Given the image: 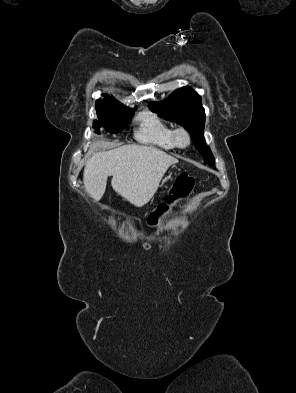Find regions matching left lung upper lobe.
I'll return each mask as SVG.
<instances>
[{"instance_id": "5c2ea615", "label": "left lung upper lobe", "mask_w": 296, "mask_h": 393, "mask_svg": "<svg viewBox=\"0 0 296 393\" xmlns=\"http://www.w3.org/2000/svg\"><path fill=\"white\" fill-rule=\"evenodd\" d=\"M148 107L167 120L183 125L205 162L215 164L214 156L203 137L205 111L201 97L191 87L180 88L163 101L149 103Z\"/></svg>"}]
</instances>
